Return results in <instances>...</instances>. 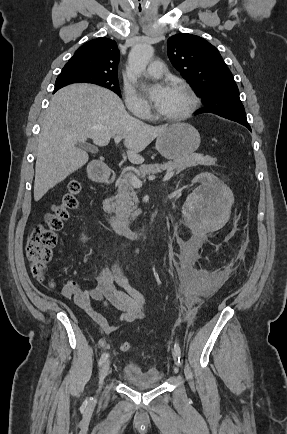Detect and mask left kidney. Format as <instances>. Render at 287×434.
<instances>
[{
  "label": "left kidney",
  "instance_id": "1",
  "mask_svg": "<svg viewBox=\"0 0 287 434\" xmlns=\"http://www.w3.org/2000/svg\"><path fill=\"white\" fill-rule=\"evenodd\" d=\"M201 186L196 188L186 200L183 215L188 222L213 218L222 224V219L230 213L234 197L232 191L211 173H201L194 179Z\"/></svg>",
  "mask_w": 287,
  "mask_h": 434
}]
</instances>
